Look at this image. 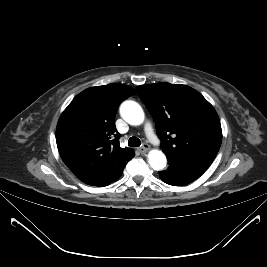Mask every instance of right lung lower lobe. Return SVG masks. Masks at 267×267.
I'll use <instances>...</instances> for the list:
<instances>
[{
    "mask_svg": "<svg viewBox=\"0 0 267 267\" xmlns=\"http://www.w3.org/2000/svg\"><path fill=\"white\" fill-rule=\"evenodd\" d=\"M124 167L120 171H118L117 173H115L112 177L106 179L105 181L101 182L100 184H98L96 186H98V187H104V186H107V185L111 184L112 182L116 181L122 175V172H123Z\"/></svg>",
    "mask_w": 267,
    "mask_h": 267,
    "instance_id": "98d812e1",
    "label": "right lung lower lobe"
}]
</instances>
